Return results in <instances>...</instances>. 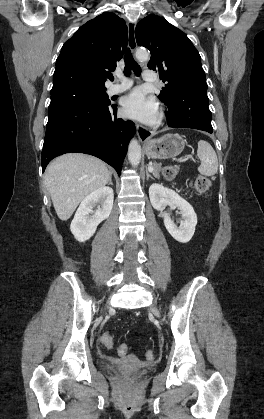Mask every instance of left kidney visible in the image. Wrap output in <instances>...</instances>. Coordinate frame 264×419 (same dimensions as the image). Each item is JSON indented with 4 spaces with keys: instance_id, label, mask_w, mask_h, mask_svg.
I'll return each mask as SVG.
<instances>
[{
    "instance_id": "5707ae66",
    "label": "left kidney",
    "mask_w": 264,
    "mask_h": 419,
    "mask_svg": "<svg viewBox=\"0 0 264 419\" xmlns=\"http://www.w3.org/2000/svg\"><path fill=\"white\" fill-rule=\"evenodd\" d=\"M149 198L154 209L161 211L164 225L169 234L178 242L187 243L191 240L197 224V215L193 207L174 190L154 183L149 188ZM177 207L184 219L178 227L170 218L169 214L163 212L165 207Z\"/></svg>"
}]
</instances>
